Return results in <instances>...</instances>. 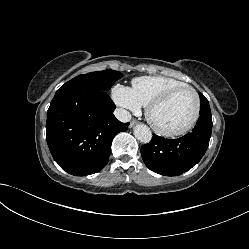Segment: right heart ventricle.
Returning <instances> with one entry per match:
<instances>
[{
  "label": "right heart ventricle",
  "mask_w": 249,
  "mask_h": 249,
  "mask_svg": "<svg viewBox=\"0 0 249 249\" xmlns=\"http://www.w3.org/2000/svg\"><path fill=\"white\" fill-rule=\"evenodd\" d=\"M180 85H185V83L171 77L142 76L133 79L132 91L140 104L147 107L154 99Z\"/></svg>",
  "instance_id": "e07e8e85"
}]
</instances>
